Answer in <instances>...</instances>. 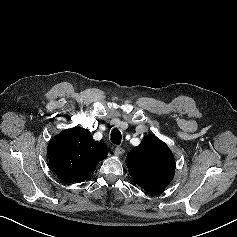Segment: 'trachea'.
<instances>
[{
    "instance_id": "3493384b",
    "label": "trachea",
    "mask_w": 237,
    "mask_h": 237,
    "mask_svg": "<svg viewBox=\"0 0 237 237\" xmlns=\"http://www.w3.org/2000/svg\"><path fill=\"white\" fill-rule=\"evenodd\" d=\"M122 135L118 129H113L111 131V142L119 145L121 143Z\"/></svg>"
}]
</instances>
